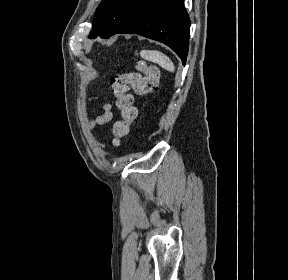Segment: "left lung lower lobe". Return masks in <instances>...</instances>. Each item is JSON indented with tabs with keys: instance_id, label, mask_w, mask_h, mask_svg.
<instances>
[{
	"instance_id": "left-lung-lower-lobe-1",
	"label": "left lung lower lobe",
	"mask_w": 288,
	"mask_h": 280,
	"mask_svg": "<svg viewBox=\"0 0 288 280\" xmlns=\"http://www.w3.org/2000/svg\"><path fill=\"white\" fill-rule=\"evenodd\" d=\"M190 19L184 0H141L113 34L135 33L169 46L186 63Z\"/></svg>"
}]
</instances>
